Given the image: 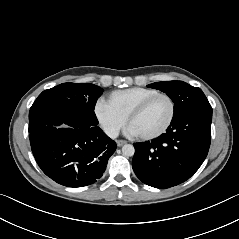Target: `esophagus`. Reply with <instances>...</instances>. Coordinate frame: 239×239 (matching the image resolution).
Masks as SVG:
<instances>
[{
	"mask_svg": "<svg viewBox=\"0 0 239 239\" xmlns=\"http://www.w3.org/2000/svg\"><path fill=\"white\" fill-rule=\"evenodd\" d=\"M116 143H117V146H118V147H121V146H123L124 144H126L127 142H126L125 140H117Z\"/></svg>",
	"mask_w": 239,
	"mask_h": 239,
	"instance_id": "esophagus-1",
	"label": "esophagus"
}]
</instances>
